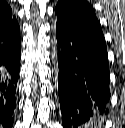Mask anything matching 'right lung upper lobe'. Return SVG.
<instances>
[{
  "label": "right lung upper lobe",
  "mask_w": 125,
  "mask_h": 128,
  "mask_svg": "<svg viewBox=\"0 0 125 128\" xmlns=\"http://www.w3.org/2000/svg\"><path fill=\"white\" fill-rule=\"evenodd\" d=\"M16 22V18L12 17L11 7L6 1L0 0V30Z\"/></svg>",
  "instance_id": "1"
}]
</instances>
